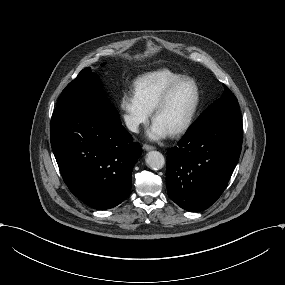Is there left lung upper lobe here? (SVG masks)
I'll return each mask as SVG.
<instances>
[{"label": "left lung upper lobe", "mask_w": 285, "mask_h": 285, "mask_svg": "<svg viewBox=\"0 0 285 285\" xmlns=\"http://www.w3.org/2000/svg\"><path fill=\"white\" fill-rule=\"evenodd\" d=\"M223 86L225 88L223 95L218 100H216L212 105H210L202 113V115L198 118V120L195 123L215 112L232 108H239L238 100L235 97V95L230 91V89L226 85L223 84Z\"/></svg>", "instance_id": "left-lung-upper-lobe-1"}]
</instances>
